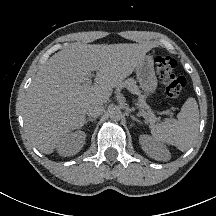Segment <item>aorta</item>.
<instances>
[{
  "instance_id": "762f6f07",
  "label": "aorta",
  "mask_w": 216,
  "mask_h": 216,
  "mask_svg": "<svg viewBox=\"0 0 216 216\" xmlns=\"http://www.w3.org/2000/svg\"><path fill=\"white\" fill-rule=\"evenodd\" d=\"M110 119L114 122L122 118V112L119 108H113L109 113Z\"/></svg>"
}]
</instances>
